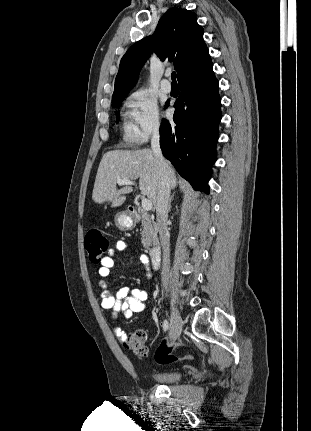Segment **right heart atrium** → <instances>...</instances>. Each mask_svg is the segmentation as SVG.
I'll list each match as a JSON object with an SVG mask.
<instances>
[{"instance_id":"d8ad5b80","label":"right heart atrium","mask_w":311,"mask_h":431,"mask_svg":"<svg viewBox=\"0 0 311 431\" xmlns=\"http://www.w3.org/2000/svg\"><path fill=\"white\" fill-rule=\"evenodd\" d=\"M125 106L129 109L139 143H145L161 132L164 121L160 107L146 91L139 89L132 92L126 98Z\"/></svg>"}]
</instances>
